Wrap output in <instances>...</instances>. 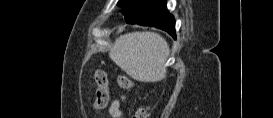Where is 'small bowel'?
<instances>
[{
  "instance_id": "c3829d8e",
  "label": "small bowel",
  "mask_w": 273,
  "mask_h": 118,
  "mask_svg": "<svg viewBox=\"0 0 273 118\" xmlns=\"http://www.w3.org/2000/svg\"><path fill=\"white\" fill-rule=\"evenodd\" d=\"M110 113L113 117L119 118L121 117V111H120V102L119 101H113L110 105Z\"/></svg>"
}]
</instances>
